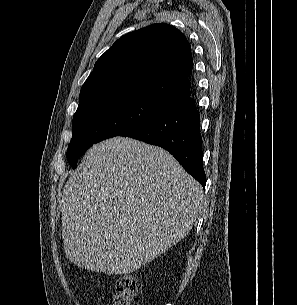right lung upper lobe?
I'll use <instances>...</instances> for the list:
<instances>
[{"mask_svg": "<svg viewBox=\"0 0 297 305\" xmlns=\"http://www.w3.org/2000/svg\"><path fill=\"white\" fill-rule=\"evenodd\" d=\"M193 60L185 35L158 23L118 39L83 84L79 108L119 95H148L171 103L191 94Z\"/></svg>", "mask_w": 297, "mask_h": 305, "instance_id": "right-lung-upper-lobe-1", "label": "right lung upper lobe"}]
</instances>
